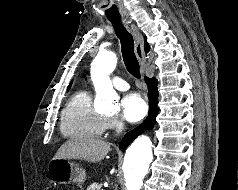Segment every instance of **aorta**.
<instances>
[{
	"mask_svg": "<svg viewBox=\"0 0 238 190\" xmlns=\"http://www.w3.org/2000/svg\"><path fill=\"white\" fill-rule=\"evenodd\" d=\"M116 63V55L113 52L101 51L91 64V78L97 93L96 106L112 111L119 109L118 95L109 78ZM152 159L151 140L143 135L138 137L126 150L124 157L123 171L126 190H140Z\"/></svg>",
	"mask_w": 238,
	"mask_h": 190,
	"instance_id": "aorta-1",
	"label": "aorta"
}]
</instances>
